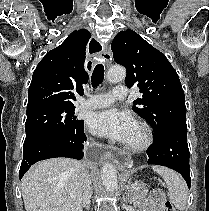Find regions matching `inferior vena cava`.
<instances>
[{
	"mask_svg": "<svg viewBox=\"0 0 209 211\" xmlns=\"http://www.w3.org/2000/svg\"><path fill=\"white\" fill-rule=\"evenodd\" d=\"M91 195H92L91 180L89 178V175L86 173L85 174V188L83 191V200L86 207H89Z\"/></svg>",
	"mask_w": 209,
	"mask_h": 211,
	"instance_id": "obj_1",
	"label": "inferior vena cava"
}]
</instances>
